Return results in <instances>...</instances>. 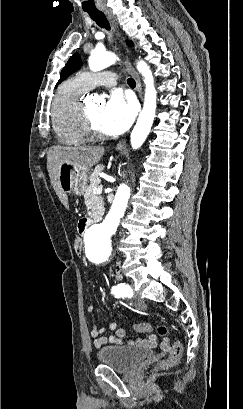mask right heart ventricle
<instances>
[{
  "mask_svg": "<svg viewBox=\"0 0 243 409\" xmlns=\"http://www.w3.org/2000/svg\"><path fill=\"white\" fill-rule=\"evenodd\" d=\"M90 88L80 77L69 78L58 88L52 103V125L58 139L67 145H81L88 140L82 98Z\"/></svg>",
  "mask_w": 243,
  "mask_h": 409,
  "instance_id": "1",
  "label": "right heart ventricle"
}]
</instances>
